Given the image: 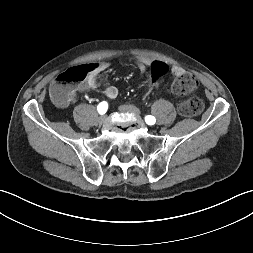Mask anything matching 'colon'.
I'll return each instance as SVG.
<instances>
[{"label": "colon", "instance_id": "colon-1", "mask_svg": "<svg viewBox=\"0 0 253 253\" xmlns=\"http://www.w3.org/2000/svg\"><path fill=\"white\" fill-rule=\"evenodd\" d=\"M93 69L92 65L70 68L61 73L56 82L51 87V97L53 101L59 105H65L71 101L75 91V84L82 82L87 77V74ZM169 66L166 63H161L158 60L150 64L151 84L148 85L142 97L147 99L152 91H155L160 82L157 78L168 73ZM198 85V80L195 75L184 72L176 77L172 84V92L176 95H185L193 91ZM203 101L198 97L184 99L178 106L179 113L182 116H195L202 112Z\"/></svg>", "mask_w": 253, "mask_h": 253}]
</instances>
